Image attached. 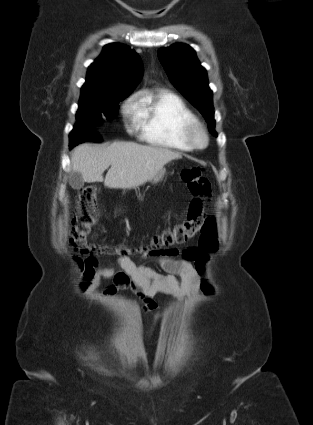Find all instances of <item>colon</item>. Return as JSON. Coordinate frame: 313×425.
Masks as SVG:
<instances>
[{
  "mask_svg": "<svg viewBox=\"0 0 313 425\" xmlns=\"http://www.w3.org/2000/svg\"><path fill=\"white\" fill-rule=\"evenodd\" d=\"M181 179L193 196L186 219L173 227L154 234L148 246L135 249L116 248L107 244L96 245L88 241L100 214L99 188L95 185H89L81 189L78 199L79 212L73 220L70 246L78 255L88 257L84 261L86 268L89 269L94 266V256H129L134 253L159 254L163 248L185 243L200 232L199 246L185 249L182 256L192 262L197 272L203 276L200 285L201 290L205 294H212L214 286L205 275V264L208 260V253L215 251L218 247V236L215 220L205 218L203 209V199L211 194V183L204 176L203 169L199 166L183 169Z\"/></svg>",
  "mask_w": 313,
  "mask_h": 425,
  "instance_id": "1",
  "label": "colon"
}]
</instances>
